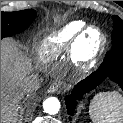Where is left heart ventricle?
Wrapping results in <instances>:
<instances>
[{"instance_id":"1","label":"left heart ventricle","mask_w":123,"mask_h":123,"mask_svg":"<svg viewBox=\"0 0 123 123\" xmlns=\"http://www.w3.org/2000/svg\"><path fill=\"white\" fill-rule=\"evenodd\" d=\"M100 37L95 30H90L85 39L80 43V49H85L86 53L92 52L99 44Z\"/></svg>"}]
</instances>
